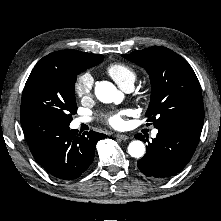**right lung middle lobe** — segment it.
I'll list each match as a JSON object with an SVG mask.
<instances>
[{
	"label": "right lung middle lobe",
	"mask_w": 221,
	"mask_h": 221,
	"mask_svg": "<svg viewBox=\"0 0 221 221\" xmlns=\"http://www.w3.org/2000/svg\"><path fill=\"white\" fill-rule=\"evenodd\" d=\"M79 65L75 71L55 66L34 68L22 93L20 116H42L69 124L77 112L76 75L102 62Z\"/></svg>",
	"instance_id": "dd1d6c3e"
}]
</instances>
